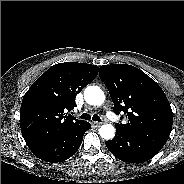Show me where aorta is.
Listing matches in <instances>:
<instances>
[{
	"label": "aorta",
	"mask_w": 184,
	"mask_h": 184,
	"mask_svg": "<svg viewBox=\"0 0 184 184\" xmlns=\"http://www.w3.org/2000/svg\"><path fill=\"white\" fill-rule=\"evenodd\" d=\"M85 101L93 106H100L105 101V95L98 86H88L84 91ZM99 134L103 139L110 140L115 136V128L112 124H104L99 129Z\"/></svg>",
	"instance_id": "1"
}]
</instances>
